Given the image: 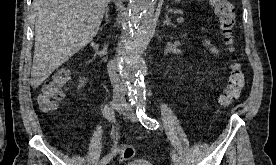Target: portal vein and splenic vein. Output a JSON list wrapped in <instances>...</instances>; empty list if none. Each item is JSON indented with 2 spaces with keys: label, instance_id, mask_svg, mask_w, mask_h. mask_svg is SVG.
I'll return each instance as SVG.
<instances>
[{
  "label": "portal vein and splenic vein",
  "instance_id": "obj_1",
  "mask_svg": "<svg viewBox=\"0 0 276 165\" xmlns=\"http://www.w3.org/2000/svg\"><path fill=\"white\" fill-rule=\"evenodd\" d=\"M184 21V18L182 17V16H180L179 18H177V22L178 23H181V22H183Z\"/></svg>",
  "mask_w": 276,
  "mask_h": 165
}]
</instances>
